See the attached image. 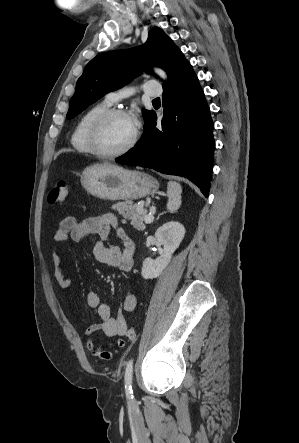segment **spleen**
I'll return each mask as SVG.
<instances>
[{"label": "spleen", "mask_w": 299, "mask_h": 443, "mask_svg": "<svg viewBox=\"0 0 299 443\" xmlns=\"http://www.w3.org/2000/svg\"><path fill=\"white\" fill-rule=\"evenodd\" d=\"M181 193L182 187L177 182H168L167 185V195H168V203L167 209L169 212H175L179 209L181 205Z\"/></svg>", "instance_id": "1"}]
</instances>
